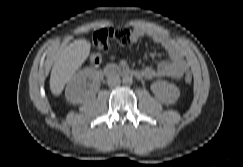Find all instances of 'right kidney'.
Returning a JSON list of instances; mask_svg holds the SVG:
<instances>
[{
	"label": "right kidney",
	"instance_id": "1",
	"mask_svg": "<svg viewBox=\"0 0 243 167\" xmlns=\"http://www.w3.org/2000/svg\"><path fill=\"white\" fill-rule=\"evenodd\" d=\"M102 79V72L92 68L78 72L67 84L65 90L67 101L72 104L83 103L98 91Z\"/></svg>",
	"mask_w": 243,
	"mask_h": 167
}]
</instances>
